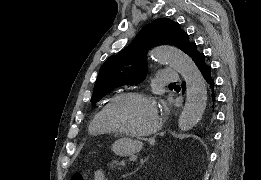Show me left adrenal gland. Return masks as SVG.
<instances>
[{"label":"left adrenal gland","instance_id":"obj_1","mask_svg":"<svg viewBox=\"0 0 261 180\" xmlns=\"http://www.w3.org/2000/svg\"><path fill=\"white\" fill-rule=\"evenodd\" d=\"M147 160H148V156H147V158H145V160H142V158H141V160H140V168H141V166H143L144 162H147ZM137 170H139V168H137ZM134 174H135V172H134Z\"/></svg>","mask_w":261,"mask_h":180}]
</instances>
